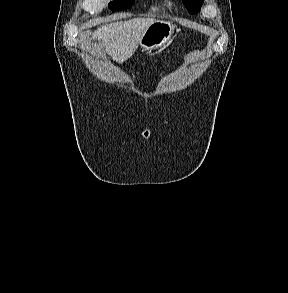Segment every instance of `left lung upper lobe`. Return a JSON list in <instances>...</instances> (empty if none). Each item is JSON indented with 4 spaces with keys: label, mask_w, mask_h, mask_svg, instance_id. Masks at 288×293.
Masks as SVG:
<instances>
[{
    "label": "left lung upper lobe",
    "mask_w": 288,
    "mask_h": 293,
    "mask_svg": "<svg viewBox=\"0 0 288 293\" xmlns=\"http://www.w3.org/2000/svg\"><path fill=\"white\" fill-rule=\"evenodd\" d=\"M204 0H183L184 5L191 14H194L201 8Z\"/></svg>",
    "instance_id": "left-lung-upper-lobe-1"
}]
</instances>
